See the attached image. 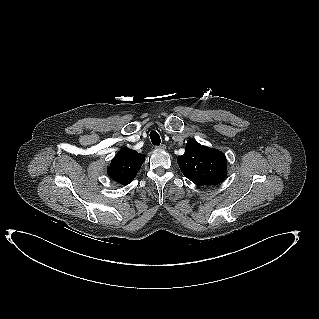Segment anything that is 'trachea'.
<instances>
[{
  "label": "trachea",
  "mask_w": 319,
  "mask_h": 319,
  "mask_svg": "<svg viewBox=\"0 0 319 319\" xmlns=\"http://www.w3.org/2000/svg\"><path fill=\"white\" fill-rule=\"evenodd\" d=\"M150 139H151V142L153 145L158 146L161 143V138H160L159 134L154 130H152L150 132Z\"/></svg>",
  "instance_id": "1"
}]
</instances>
